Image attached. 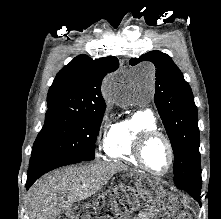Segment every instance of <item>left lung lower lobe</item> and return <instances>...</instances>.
Masks as SVG:
<instances>
[{"label":"left lung lower lobe","mask_w":221,"mask_h":219,"mask_svg":"<svg viewBox=\"0 0 221 219\" xmlns=\"http://www.w3.org/2000/svg\"><path fill=\"white\" fill-rule=\"evenodd\" d=\"M187 191L196 201L200 203V194H201V189L195 190V189H184Z\"/></svg>","instance_id":"0a47b994"}]
</instances>
